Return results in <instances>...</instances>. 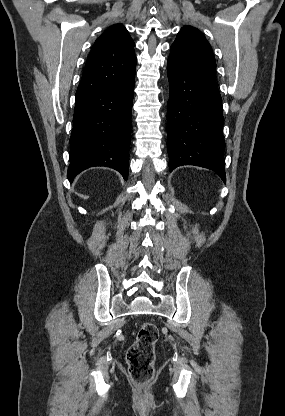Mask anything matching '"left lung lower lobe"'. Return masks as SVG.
Here are the masks:
<instances>
[{
  "label": "left lung lower lobe",
  "instance_id": "obj_1",
  "mask_svg": "<svg viewBox=\"0 0 285 416\" xmlns=\"http://www.w3.org/2000/svg\"><path fill=\"white\" fill-rule=\"evenodd\" d=\"M167 105L169 169L196 165L225 182L222 99L217 84L169 60Z\"/></svg>",
  "mask_w": 285,
  "mask_h": 416
}]
</instances>
